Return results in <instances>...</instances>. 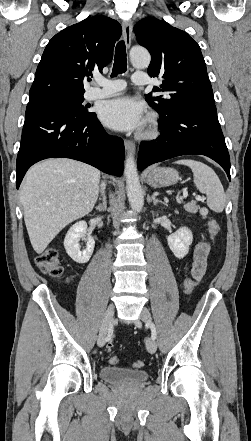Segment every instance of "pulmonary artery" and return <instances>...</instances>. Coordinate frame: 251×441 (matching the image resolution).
<instances>
[{"mask_svg": "<svg viewBox=\"0 0 251 441\" xmlns=\"http://www.w3.org/2000/svg\"><path fill=\"white\" fill-rule=\"evenodd\" d=\"M132 81L137 85H146L149 83V78L146 73L137 71L133 74ZM95 85L86 92V98L89 100L109 97L125 88V82L122 80H109L102 77L96 78Z\"/></svg>", "mask_w": 251, "mask_h": 441, "instance_id": "pulmonary-artery-1", "label": "pulmonary artery"}]
</instances>
